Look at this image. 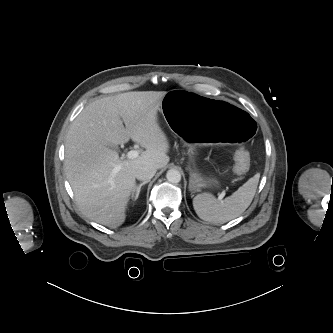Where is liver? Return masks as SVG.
<instances>
[{"label":"liver","instance_id":"6515ba94","mask_svg":"<svg viewBox=\"0 0 333 333\" xmlns=\"http://www.w3.org/2000/svg\"><path fill=\"white\" fill-rule=\"evenodd\" d=\"M166 93L135 91L103 97L88 104L71 124L64 170L88 218L111 228L122 225L137 168L161 169L168 164V139L157 121ZM129 139L146 150L135 159L121 160L111 147Z\"/></svg>","mask_w":333,"mask_h":333}]
</instances>
